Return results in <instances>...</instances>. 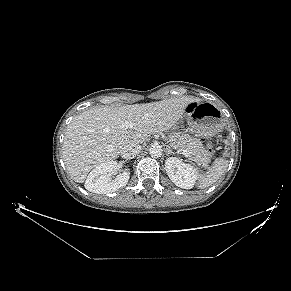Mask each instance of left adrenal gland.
Here are the masks:
<instances>
[{
  "instance_id": "1",
  "label": "left adrenal gland",
  "mask_w": 291,
  "mask_h": 291,
  "mask_svg": "<svg viewBox=\"0 0 291 291\" xmlns=\"http://www.w3.org/2000/svg\"><path fill=\"white\" fill-rule=\"evenodd\" d=\"M169 154L174 155L175 153L171 150V148L169 146H166V155L168 156Z\"/></svg>"
}]
</instances>
